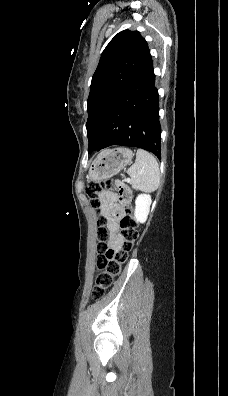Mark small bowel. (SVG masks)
Listing matches in <instances>:
<instances>
[{"label": "small bowel", "mask_w": 228, "mask_h": 396, "mask_svg": "<svg viewBox=\"0 0 228 396\" xmlns=\"http://www.w3.org/2000/svg\"><path fill=\"white\" fill-rule=\"evenodd\" d=\"M100 203L102 214L106 218V227L110 232L108 244L117 248L120 241L118 219L121 213L117 197L112 192H103L100 196Z\"/></svg>", "instance_id": "1"}]
</instances>
